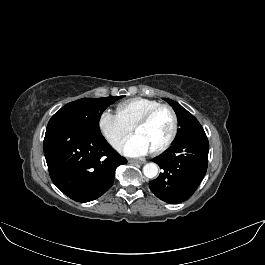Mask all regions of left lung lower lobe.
<instances>
[{"mask_svg":"<svg viewBox=\"0 0 265 265\" xmlns=\"http://www.w3.org/2000/svg\"><path fill=\"white\" fill-rule=\"evenodd\" d=\"M208 150L209 142L204 131L173 142L167 152L153 160L162 172L149 182L151 191L171 204L190 198L205 176Z\"/></svg>","mask_w":265,"mask_h":265,"instance_id":"0a47b994","label":"left lung lower lobe"}]
</instances>
